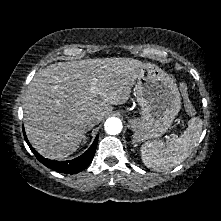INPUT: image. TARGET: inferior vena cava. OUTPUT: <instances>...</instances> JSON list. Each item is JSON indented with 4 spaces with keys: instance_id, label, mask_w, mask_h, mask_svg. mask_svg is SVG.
Instances as JSON below:
<instances>
[{
    "instance_id": "inferior-vena-cava-1",
    "label": "inferior vena cava",
    "mask_w": 221,
    "mask_h": 221,
    "mask_svg": "<svg viewBox=\"0 0 221 221\" xmlns=\"http://www.w3.org/2000/svg\"><path fill=\"white\" fill-rule=\"evenodd\" d=\"M84 123L87 128H92L95 124L98 123V118L95 115H87L84 118Z\"/></svg>"
}]
</instances>
